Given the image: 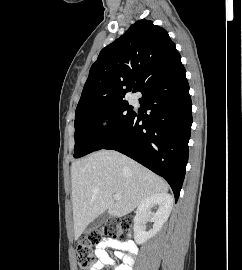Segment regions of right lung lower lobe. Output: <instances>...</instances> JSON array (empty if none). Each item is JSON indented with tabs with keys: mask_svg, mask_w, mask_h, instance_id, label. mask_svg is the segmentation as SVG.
I'll list each match as a JSON object with an SVG mask.
<instances>
[{
	"mask_svg": "<svg viewBox=\"0 0 242 270\" xmlns=\"http://www.w3.org/2000/svg\"><path fill=\"white\" fill-rule=\"evenodd\" d=\"M141 93L140 104L148 113L134 112L101 149L121 152L162 176L177 201L188 162L192 125V102L182 63L155 78Z\"/></svg>",
	"mask_w": 242,
	"mask_h": 270,
	"instance_id": "98d812e1",
	"label": "right lung lower lobe"
}]
</instances>
